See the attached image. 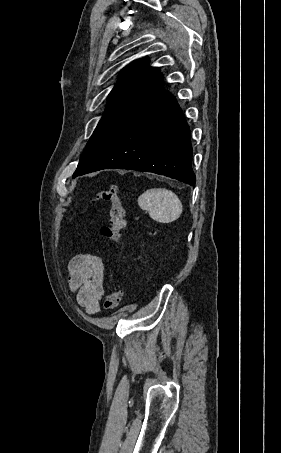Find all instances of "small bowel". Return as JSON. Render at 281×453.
I'll use <instances>...</instances> for the list:
<instances>
[{"mask_svg":"<svg viewBox=\"0 0 281 453\" xmlns=\"http://www.w3.org/2000/svg\"><path fill=\"white\" fill-rule=\"evenodd\" d=\"M105 267L102 258L93 253H81L70 260L68 285L88 314L100 311Z\"/></svg>","mask_w":281,"mask_h":453,"instance_id":"1","label":"small bowel"}]
</instances>
